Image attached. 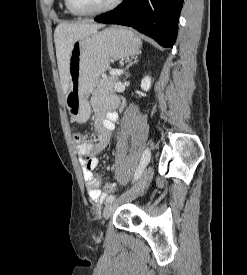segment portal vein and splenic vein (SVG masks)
<instances>
[{
  "label": "portal vein and splenic vein",
  "mask_w": 247,
  "mask_h": 275,
  "mask_svg": "<svg viewBox=\"0 0 247 275\" xmlns=\"http://www.w3.org/2000/svg\"><path fill=\"white\" fill-rule=\"evenodd\" d=\"M121 73H122V71H121V70H117V69H112V70L109 72V74H110L111 76L120 75Z\"/></svg>",
  "instance_id": "obj_1"
}]
</instances>
